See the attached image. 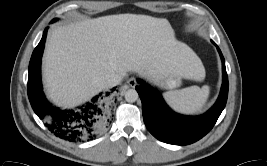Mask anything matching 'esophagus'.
<instances>
[{
	"label": "esophagus",
	"instance_id": "obj_1",
	"mask_svg": "<svg viewBox=\"0 0 267 166\" xmlns=\"http://www.w3.org/2000/svg\"><path fill=\"white\" fill-rule=\"evenodd\" d=\"M127 84L129 87L134 88L138 83L134 77H130L129 79H127Z\"/></svg>",
	"mask_w": 267,
	"mask_h": 166
}]
</instances>
